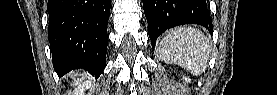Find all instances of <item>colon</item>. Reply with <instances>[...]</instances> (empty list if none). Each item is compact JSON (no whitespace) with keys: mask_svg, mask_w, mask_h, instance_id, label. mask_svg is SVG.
<instances>
[{"mask_svg":"<svg viewBox=\"0 0 277 95\" xmlns=\"http://www.w3.org/2000/svg\"><path fill=\"white\" fill-rule=\"evenodd\" d=\"M189 80H190L189 77H186V80H185V81H186V82H189Z\"/></svg>","mask_w":277,"mask_h":95,"instance_id":"5ec220e1","label":"colon"}]
</instances>
